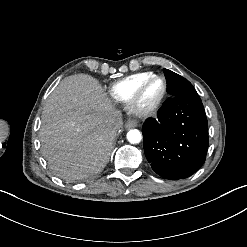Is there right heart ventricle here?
Wrapping results in <instances>:
<instances>
[{
    "instance_id": "obj_1",
    "label": "right heart ventricle",
    "mask_w": 247,
    "mask_h": 247,
    "mask_svg": "<svg viewBox=\"0 0 247 247\" xmlns=\"http://www.w3.org/2000/svg\"><path fill=\"white\" fill-rule=\"evenodd\" d=\"M154 75L152 72H143L135 75L125 77L116 83H114L109 91L108 95L118 103H127L131 97L135 87L145 78Z\"/></svg>"
}]
</instances>
